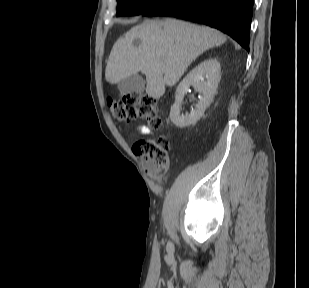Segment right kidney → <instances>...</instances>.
Here are the masks:
<instances>
[{
  "label": "right kidney",
  "mask_w": 309,
  "mask_h": 288,
  "mask_svg": "<svg viewBox=\"0 0 309 288\" xmlns=\"http://www.w3.org/2000/svg\"><path fill=\"white\" fill-rule=\"evenodd\" d=\"M221 66L217 59H208L194 68L180 82L176 89L175 103L170 110L171 121L179 128L195 124L213 100L220 81ZM190 86L200 94L195 109L188 115H180V108Z\"/></svg>",
  "instance_id": "1"
}]
</instances>
